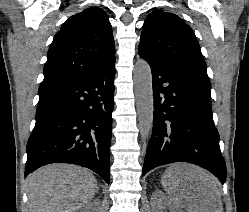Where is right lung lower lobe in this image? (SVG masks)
<instances>
[{
  "instance_id": "98d812e1",
  "label": "right lung lower lobe",
  "mask_w": 249,
  "mask_h": 212,
  "mask_svg": "<svg viewBox=\"0 0 249 212\" xmlns=\"http://www.w3.org/2000/svg\"><path fill=\"white\" fill-rule=\"evenodd\" d=\"M115 62L98 73L39 92L25 176L50 163L87 167L109 183Z\"/></svg>"
}]
</instances>
